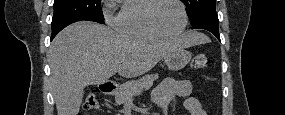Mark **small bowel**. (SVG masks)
<instances>
[{"instance_id": "1", "label": "small bowel", "mask_w": 285, "mask_h": 115, "mask_svg": "<svg viewBox=\"0 0 285 115\" xmlns=\"http://www.w3.org/2000/svg\"><path fill=\"white\" fill-rule=\"evenodd\" d=\"M191 90L192 84L189 80L166 78L154 88L151 101L160 114H167V108L174 97H186L184 107L190 115H206L198 99L189 96Z\"/></svg>"}]
</instances>
